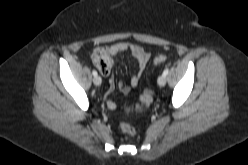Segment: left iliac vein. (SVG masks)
Here are the masks:
<instances>
[{
  "label": "left iliac vein",
  "instance_id": "obj_1",
  "mask_svg": "<svg viewBox=\"0 0 248 165\" xmlns=\"http://www.w3.org/2000/svg\"><path fill=\"white\" fill-rule=\"evenodd\" d=\"M157 83H158V85L160 87L165 86V84H166V76H164V75L159 76L158 80H157Z\"/></svg>",
  "mask_w": 248,
  "mask_h": 165
}]
</instances>
